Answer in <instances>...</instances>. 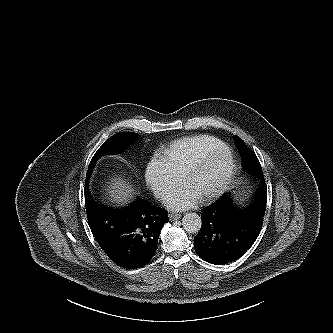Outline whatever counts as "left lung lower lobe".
<instances>
[{"label":"left lung lower lobe","instance_id":"left-lung-lower-lobe-1","mask_svg":"<svg viewBox=\"0 0 333 333\" xmlns=\"http://www.w3.org/2000/svg\"><path fill=\"white\" fill-rule=\"evenodd\" d=\"M249 205H239L231 193L202 209V226L194 238L197 255L215 265H225L242 257L256 241L267 202L264 176Z\"/></svg>","mask_w":333,"mask_h":333}]
</instances>
